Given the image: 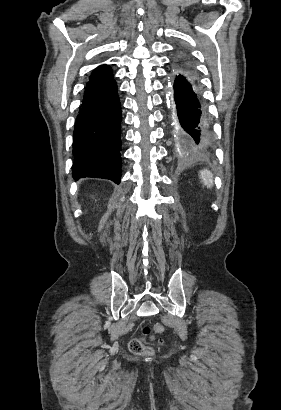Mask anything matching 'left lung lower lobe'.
Returning <instances> with one entry per match:
<instances>
[{
  "label": "left lung lower lobe",
  "mask_w": 281,
  "mask_h": 410,
  "mask_svg": "<svg viewBox=\"0 0 281 410\" xmlns=\"http://www.w3.org/2000/svg\"><path fill=\"white\" fill-rule=\"evenodd\" d=\"M171 78L176 139L194 151L211 150L214 143L211 123L199 94L197 78L176 70L172 71Z\"/></svg>",
  "instance_id": "1"
}]
</instances>
